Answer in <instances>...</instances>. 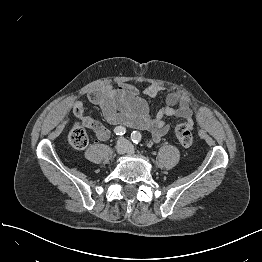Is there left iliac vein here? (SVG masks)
<instances>
[{
  "instance_id": "1",
  "label": "left iliac vein",
  "mask_w": 262,
  "mask_h": 262,
  "mask_svg": "<svg viewBox=\"0 0 262 262\" xmlns=\"http://www.w3.org/2000/svg\"><path fill=\"white\" fill-rule=\"evenodd\" d=\"M127 153L128 154H133L134 153V148L131 145H129Z\"/></svg>"
}]
</instances>
